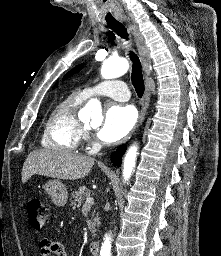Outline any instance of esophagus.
<instances>
[{
  "label": "esophagus",
  "mask_w": 221,
  "mask_h": 256,
  "mask_svg": "<svg viewBox=\"0 0 221 256\" xmlns=\"http://www.w3.org/2000/svg\"><path fill=\"white\" fill-rule=\"evenodd\" d=\"M123 21L127 23V25L129 26L130 30L133 32L135 43H136V46H137V49H138V53H139V57H140V61H141V64H142L143 71H144L146 76H149L150 72H151V58H150L149 49L146 46L145 41H144L142 35L136 29L135 25H133L130 22V20L128 18H126V17L123 18ZM149 101H150V98H149V86L147 85L146 86V93H145L144 99L142 101V108H141V112H140V115H139V119H138V122H137L134 130L132 131V133L134 131H136L139 128V126L142 124V122H143V120L145 118V115L147 113V109H148V106H149Z\"/></svg>",
  "instance_id": "1"
}]
</instances>
